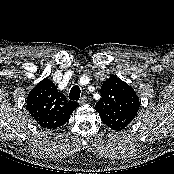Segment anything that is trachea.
Wrapping results in <instances>:
<instances>
[{"mask_svg":"<svg viewBox=\"0 0 174 174\" xmlns=\"http://www.w3.org/2000/svg\"><path fill=\"white\" fill-rule=\"evenodd\" d=\"M80 93H81L80 87L77 85L73 86L69 93L70 100H75V101L79 100Z\"/></svg>","mask_w":174,"mask_h":174,"instance_id":"3493384b","label":"trachea"}]
</instances>
